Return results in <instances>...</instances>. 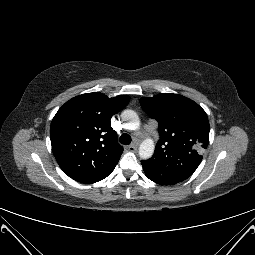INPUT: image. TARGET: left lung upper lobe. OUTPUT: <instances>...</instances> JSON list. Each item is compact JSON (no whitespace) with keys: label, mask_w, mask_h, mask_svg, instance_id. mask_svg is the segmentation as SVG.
<instances>
[{"label":"left lung upper lobe","mask_w":255,"mask_h":255,"mask_svg":"<svg viewBox=\"0 0 255 255\" xmlns=\"http://www.w3.org/2000/svg\"><path fill=\"white\" fill-rule=\"evenodd\" d=\"M144 111L159 123L160 140L154 155L141 161L146 176L173 185L190 177L202 161L209 143L206 112L194 101L163 93L140 99Z\"/></svg>","instance_id":"obj_1"}]
</instances>
